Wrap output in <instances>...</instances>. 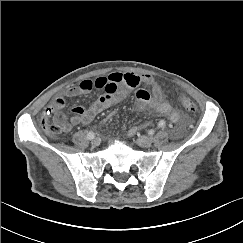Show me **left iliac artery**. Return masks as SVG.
I'll use <instances>...</instances> for the list:
<instances>
[{
	"mask_svg": "<svg viewBox=\"0 0 243 243\" xmlns=\"http://www.w3.org/2000/svg\"><path fill=\"white\" fill-rule=\"evenodd\" d=\"M164 126H165V121H163V120L159 121V123H158V128H162V127H164ZM149 134L152 135V134H153V131L150 130V131H149Z\"/></svg>",
	"mask_w": 243,
	"mask_h": 243,
	"instance_id": "left-iliac-artery-1",
	"label": "left iliac artery"
}]
</instances>
